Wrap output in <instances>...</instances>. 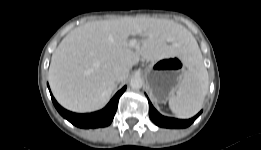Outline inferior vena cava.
Listing matches in <instances>:
<instances>
[{"mask_svg":"<svg viewBox=\"0 0 261 150\" xmlns=\"http://www.w3.org/2000/svg\"><path fill=\"white\" fill-rule=\"evenodd\" d=\"M130 69L124 66H115L112 70V77L115 81L125 80L129 75Z\"/></svg>","mask_w":261,"mask_h":150,"instance_id":"inferior-vena-cava-1","label":"inferior vena cava"}]
</instances>
